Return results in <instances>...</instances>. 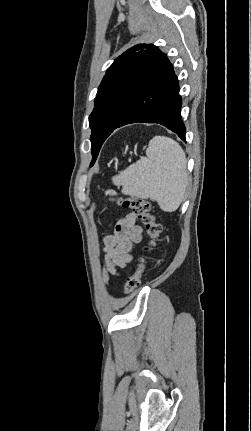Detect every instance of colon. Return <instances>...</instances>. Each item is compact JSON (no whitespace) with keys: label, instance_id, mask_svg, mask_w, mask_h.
I'll return each mask as SVG.
<instances>
[{"label":"colon","instance_id":"colon-1","mask_svg":"<svg viewBox=\"0 0 251 431\" xmlns=\"http://www.w3.org/2000/svg\"><path fill=\"white\" fill-rule=\"evenodd\" d=\"M114 200L122 207L131 209L136 214L151 238L144 247L145 254L138 259L136 269L125 283L124 292L129 295L140 286L148 255L157 247V240L162 232V226L157 222L155 214L152 213V206L147 200L135 196L119 197Z\"/></svg>","mask_w":251,"mask_h":431}]
</instances>
